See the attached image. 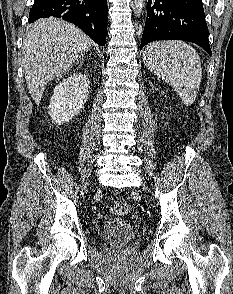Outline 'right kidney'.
I'll use <instances>...</instances> for the list:
<instances>
[{"label": "right kidney", "mask_w": 233, "mask_h": 294, "mask_svg": "<svg viewBox=\"0 0 233 294\" xmlns=\"http://www.w3.org/2000/svg\"><path fill=\"white\" fill-rule=\"evenodd\" d=\"M89 78L74 73L64 78L54 89L49 104V115L57 124L68 122L84 107L88 98Z\"/></svg>", "instance_id": "right-kidney-1"}]
</instances>
